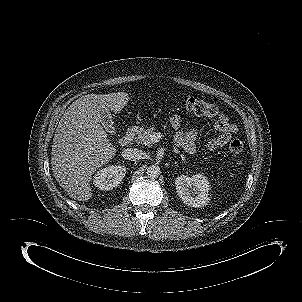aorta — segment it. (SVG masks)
<instances>
[{
  "instance_id": "1",
  "label": "aorta",
  "mask_w": 302,
  "mask_h": 302,
  "mask_svg": "<svg viewBox=\"0 0 302 302\" xmlns=\"http://www.w3.org/2000/svg\"><path fill=\"white\" fill-rule=\"evenodd\" d=\"M160 167L158 165H151L147 168V175L150 178H157L160 175Z\"/></svg>"
}]
</instances>
